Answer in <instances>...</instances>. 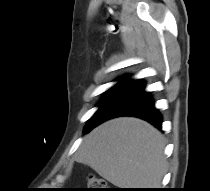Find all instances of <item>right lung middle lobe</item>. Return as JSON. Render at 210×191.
<instances>
[{
  "instance_id": "dd1d6c3e",
  "label": "right lung middle lobe",
  "mask_w": 210,
  "mask_h": 191,
  "mask_svg": "<svg viewBox=\"0 0 210 191\" xmlns=\"http://www.w3.org/2000/svg\"><path fill=\"white\" fill-rule=\"evenodd\" d=\"M113 88H111V89H109L108 91L105 92L103 99L99 103L100 108L106 102V100L108 99V97L110 96V93L113 90ZM99 109H98V111H99ZM98 111L92 116V118L86 124V126L84 128V133H88L94 127L95 122H96V116H97Z\"/></svg>"
}]
</instances>
